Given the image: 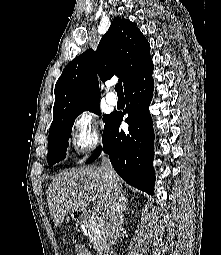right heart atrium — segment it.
<instances>
[{
    "mask_svg": "<svg viewBox=\"0 0 221 255\" xmlns=\"http://www.w3.org/2000/svg\"><path fill=\"white\" fill-rule=\"evenodd\" d=\"M72 143L80 153L94 149L100 141L99 121L94 112L81 110L72 121Z\"/></svg>",
    "mask_w": 221,
    "mask_h": 255,
    "instance_id": "1",
    "label": "right heart atrium"
}]
</instances>
